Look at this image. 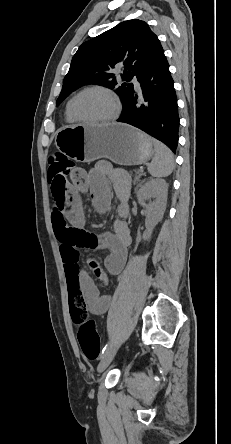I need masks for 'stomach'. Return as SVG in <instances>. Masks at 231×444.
<instances>
[{"label": "stomach", "mask_w": 231, "mask_h": 444, "mask_svg": "<svg viewBox=\"0 0 231 444\" xmlns=\"http://www.w3.org/2000/svg\"><path fill=\"white\" fill-rule=\"evenodd\" d=\"M55 145L78 162L107 158L119 165L147 162L154 154L152 139L127 124H77L60 128Z\"/></svg>", "instance_id": "1"}]
</instances>
